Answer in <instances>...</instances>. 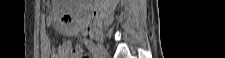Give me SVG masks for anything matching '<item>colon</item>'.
Here are the masks:
<instances>
[{
	"mask_svg": "<svg viewBox=\"0 0 225 58\" xmlns=\"http://www.w3.org/2000/svg\"><path fill=\"white\" fill-rule=\"evenodd\" d=\"M72 53H73V58H87L88 57V54L80 46L75 47L73 49Z\"/></svg>",
	"mask_w": 225,
	"mask_h": 58,
	"instance_id": "1",
	"label": "colon"
}]
</instances>
